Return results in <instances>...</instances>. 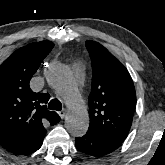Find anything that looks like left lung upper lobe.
<instances>
[{"mask_svg":"<svg viewBox=\"0 0 165 165\" xmlns=\"http://www.w3.org/2000/svg\"><path fill=\"white\" fill-rule=\"evenodd\" d=\"M92 62L89 129L122 143L132 124L136 94L127 69L101 44L86 41Z\"/></svg>","mask_w":165,"mask_h":165,"instance_id":"left-lung-upper-lobe-1","label":"left lung upper lobe"}]
</instances>
